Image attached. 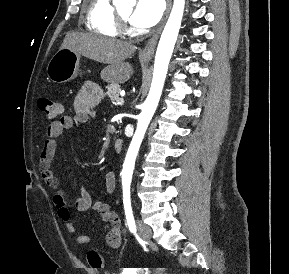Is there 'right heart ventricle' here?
<instances>
[{
	"mask_svg": "<svg viewBox=\"0 0 289 274\" xmlns=\"http://www.w3.org/2000/svg\"><path fill=\"white\" fill-rule=\"evenodd\" d=\"M85 25L88 30L106 37H118L122 32L111 0H87Z\"/></svg>",
	"mask_w": 289,
	"mask_h": 274,
	"instance_id": "obj_1",
	"label": "right heart ventricle"
}]
</instances>
